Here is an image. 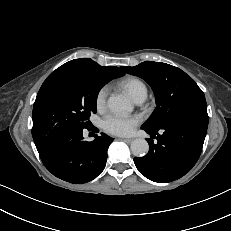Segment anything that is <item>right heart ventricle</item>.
Returning a JSON list of instances; mask_svg holds the SVG:
<instances>
[{
  "label": "right heart ventricle",
  "instance_id": "e07e8e85",
  "mask_svg": "<svg viewBox=\"0 0 231 231\" xmlns=\"http://www.w3.org/2000/svg\"><path fill=\"white\" fill-rule=\"evenodd\" d=\"M118 84L125 89L135 101L144 100L147 97V85L137 77H126L120 80Z\"/></svg>",
  "mask_w": 231,
  "mask_h": 231
}]
</instances>
